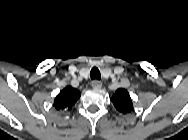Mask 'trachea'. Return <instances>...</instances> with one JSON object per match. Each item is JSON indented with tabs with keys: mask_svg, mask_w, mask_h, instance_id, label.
<instances>
[{
	"mask_svg": "<svg viewBox=\"0 0 188 140\" xmlns=\"http://www.w3.org/2000/svg\"><path fill=\"white\" fill-rule=\"evenodd\" d=\"M90 76H91V79H97V80H100V79H101L100 71H99V69L96 68V67H93V68L91 69Z\"/></svg>",
	"mask_w": 188,
	"mask_h": 140,
	"instance_id": "1",
	"label": "trachea"
}]
</instances>
